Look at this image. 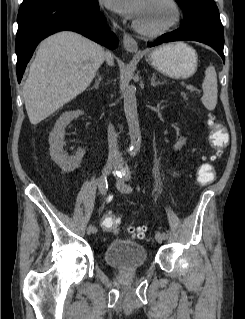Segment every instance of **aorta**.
I'll return each instance as SVG.
<instances>
[{
  "mask_svg": "<svg viewBox=\"0 0 245 319\" xmlns=\"http://www.w3.org/2000/svg\"><path fill=\"white\" fill-rule=\"evenodd\" d=\"M124 112L127 119L130 135L131 156H135L141 146V131L137 113L136 89L133 85L126 84L124 90Z\"/></svg>",
  "mask_w": 245,
  "mask_h": 319,
  "instance_id": "1",
  "label": "aorta"
}]
</instances>
